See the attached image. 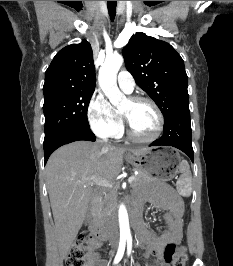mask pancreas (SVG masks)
Here are the masks:
<instances>
[{
	"mask_svg": "<svg viewBox=\"0 0 233 266\" xmlns=\"http://www.w3.org/2000/svg\"><path fill=\"white\" fill-rule=\"evenodd\" d=\"M135 179L131 183V187L136 188L154 181V178L145 172L139 171L137 176H134ZM116 205V191H108L101 199L99 203V209L102 215H108Z\"/></svg>",
	"mask_w": 233,
	"mask_h": 266,
	"instance_id": "pancreas-1",
	"label": "pancreas"
}]
</instances>
